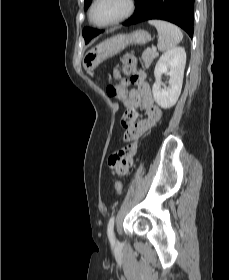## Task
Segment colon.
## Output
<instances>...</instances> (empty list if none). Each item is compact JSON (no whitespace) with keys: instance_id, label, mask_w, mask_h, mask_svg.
<instances>
[{"instance_id":"1","label":"colon","mask_w":229,"mask_h":280,"mask_svg":"<svg viewBox=\"0 0 229 280\" xmlns=\"http://www.w3.org/2000/svg\"><path fill=\"white\" fill-rule=\"evenodd\" d=\"M121 62L123 64V72L125 76L133 83H138L143 79V71L136 66L135 57L131 53H126L122 56ZM131 123V117L124 115L122 119L123 126L127 127ZM108 164L116 173L122 174L126 171L129 160L126 158V153L123 150L113 152L108 159ZM115 190L118 194L122 193L123 185L121 182H116Z\"/></svg>"}]
</instances>
